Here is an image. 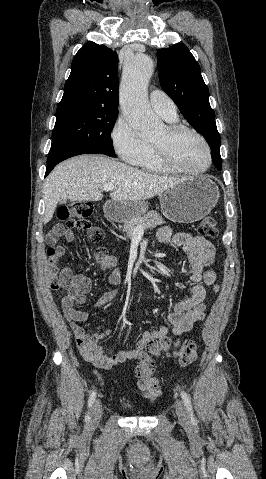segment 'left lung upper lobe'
<instances>
[{"mask_svg": "<svg viewBox=\"0 0 266 479\" xmlns=\"http://www.w3.org/2000/svg\"><path fill=\"white\" fill-rule=\"evenodd\" d=\"M157 66L162 89L177 104L189 124L209 143L213 163L221 170V139L198 62L189 49L179 43L157 51Z\"/></svg>", "mask_w": 266, "mask_h": 479, "instance_id": "left-lung-upper-lobe-1", "label": "left lung upper lobe"}]
</instances>
